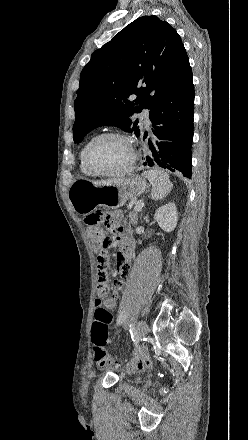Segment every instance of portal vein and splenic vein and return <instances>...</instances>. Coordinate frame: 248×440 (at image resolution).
<instances>
[{
	"label": "portal vein and splenic vein",
	"instance_id": "portal-vein-and-splenic-vein-1",
	"mask_svg": "<svg viewBox=\"0 0 248 440\" xmlns=\"http://www.w3.org/2000/svg\"><path fill=\"white\" fill-rule=\"evenodd\" d=\"M143 204L142 203H137L134 207V210L136 212H140L142 210Z\"/></svg>",
	"mask_w": 248,
	"mask_h": 440
}]
</instances>
